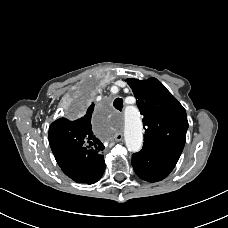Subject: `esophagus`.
Wrapping results in <instances>:
<instances>
[{"label":"esophagus","mask_w":228,"mask_h":228,"mask_svg":"<svg viewBox=\"0 0 228 228\" xmlns=\"http://www.w3.org/2000/svg\"><path fill=\"white\" fill-rule=\"evenodd\" d=\"M114 138H115L116 141L120 142V141L123 140V134L122 133H118V134L115 135Z\"/></svg>","instance_id":"obj_1"}]
</instances>
